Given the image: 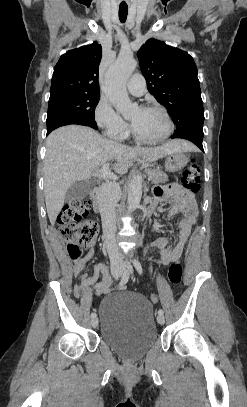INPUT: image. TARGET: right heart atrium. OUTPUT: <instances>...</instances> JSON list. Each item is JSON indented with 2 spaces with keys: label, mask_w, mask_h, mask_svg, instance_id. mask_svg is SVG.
I'll return each instance as SVG.
<instances>
[{
  "label": "right heart atrium",
  "mask_w": 247,
  "mask_h": 407,
  "mask_svg": "<svg viewBox=\"0 0 247 407\" xmlns=\"http://www.w3.org/2000/svg\"><path fill=\"white\" fill-rule=\"evenodd\" d=\"M94 120L103 133L112 139L121 140L127 132L126 121L115 111L110 101L101 96L94 108Z\"/></svg>",
  "instance_id": "right-heart-atrium-1"
}]
</instances>
